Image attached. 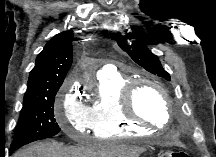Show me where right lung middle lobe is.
Listing matches in <instances>:
<instances>
[{"label":"right lung middle lobe","instance_id":"1","mask_svg":"<svg viewBox=\"0 0 216 157\" xmlns=\"http://www.w3.org/2000/svg\"><path fill=\"white\" fill-rule=\"evenodd\" d=\"M56 93L57 91L24 99L10 149L16 150L30 142L59 133L60 128L54 118Z\"/></svg>","mask_w":216,"mask_h":157}]
</instances>
